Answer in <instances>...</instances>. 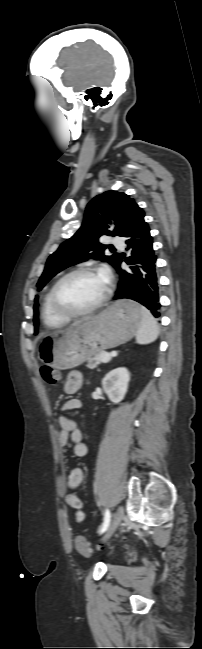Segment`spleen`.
Masks as SVG:
<instances>
[{"mask_svg":"<svg viewBox=\"0 0 202 649\" xmlns=\"http://www.w3.org/2000/svg\"><path fill=\"white\" fill-rule=\"evenodd\" d=\"M142 321L136 333V342L148 344L156 340L159 334L158 324L150 311L141 307Z\"/></svg>","mask_w":202,"mask_h":649,"instance_id":"3e777b00","label":"spleen"}]
</instances>
